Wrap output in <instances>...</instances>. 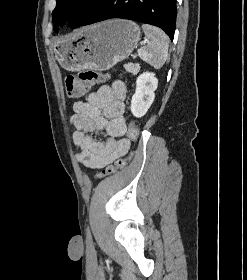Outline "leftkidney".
Masks as SVG:
<instances>
[{"label": "left kidney", "instance_id": "left-kidney-1", "mask_svg": "<svg viewBox=\"0 0 247 280\" xmlns=\"http://www.w3.org/2000/svg\"><path fill=\"white\" fill-rule=\"evenodd\" d=\"M158 80L153 73L145 72L136 80L135 94L131 100V112L137 117H143L151 107L157 89Z\"/></svg>", "mask_w": 247, "mask_h": 280}]
</instances>
